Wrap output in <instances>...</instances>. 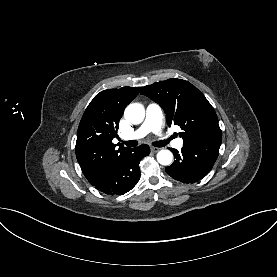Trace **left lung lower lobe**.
Instances as JSON below:
<instances>
[{"mask_svg": "<svg viewBox=\"0 0 277 277\" xmlns=\"http://www.w3.org/2000/svg\"><path fill=\"white\" fill-rule=\"evenodd\" d=\"M221 140H204L184 143L181 153L176 149L175 161L165 170L175 180L194 183L205 177L212 169L219 153Z\"/></svg>", "mask_w": 277, "mask_h": 277, "instance_id": "1", "label": "left lung lower lobe"}]
</instances>
